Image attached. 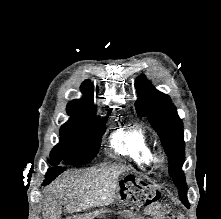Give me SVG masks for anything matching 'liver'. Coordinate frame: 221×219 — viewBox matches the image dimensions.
I'll return each mask as SVG.
<instances>
[{
  "label": "liver",
  "instance_id": "liver-1",
  "mask_svg": "<svg viewBox=\"0 0 221 219\" xmlns=\"http://www.w3.org/2000/svg\"><path fill=\"white\" fill-rule=\"evenodd\" d=\"M128 170L116 165L66 172L46 189L43 219H58L62 206L73 213L112 203L117 197L118 178Z\"/></svg>",
  "mask_w": 221,
  "mask_h": 219
}]
</instances>
